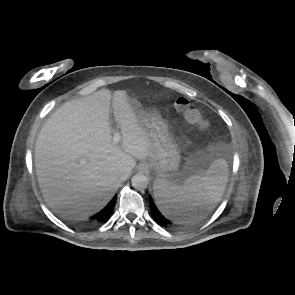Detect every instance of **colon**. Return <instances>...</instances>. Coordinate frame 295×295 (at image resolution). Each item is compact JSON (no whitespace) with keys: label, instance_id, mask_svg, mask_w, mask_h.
Masks as SVG:
<instances>
[{"label":"colon","instance_id":"colon-1","mask_svg":"<svg viewBox=\"0 0 295 295\" xmlns=\"http://www.w3.org/2000/svg\"><path fill=\"white\" fill-rule=\"evenodd\" d=\"M176 110L181 114L184 121L189 125L205 129L208 125L198 106L185 97H176L174 100Z\"/></svg>","mask_w":295,"mask_h":295}]
</instances>
